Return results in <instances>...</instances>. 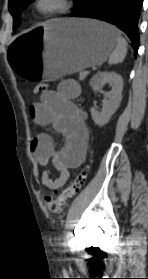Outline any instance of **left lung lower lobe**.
<instances>
[{
	"label": "left lung lower lobe",
	"mask_w": 148,
	"mask_h": 279,
	"mask_svg": "<svg viewBox=\"0 0 148 279\" xmlns=\"http://www.w3.org/2000/svg\"><path fill=\"white\" fill-rule=\"evenodd\" d=\"M143 0H79L71 17H88L109 22L123 30L133 44L135 55L139 48L138 21Z\"/></svg>",
	"instance_id": "0a47b994"
}]
</instances>
